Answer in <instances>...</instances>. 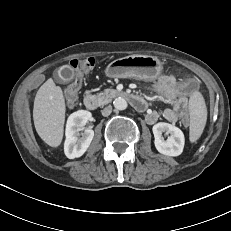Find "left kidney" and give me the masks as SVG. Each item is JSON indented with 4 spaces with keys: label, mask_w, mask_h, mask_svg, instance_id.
Segmentation results:
<instances>
[{
    "label": "left kidney",
    "mask_w": 231,
    "mask_h": 231,
    "mask_svg": "<svg viewBox=\"0 0 231 231\" xmlns=\"http://www.w3.org/2000/svg\"><path fill=\"white\" fill-rule=\"evenodd\" d=\"M153 134L155 137V147L157 151L166 156H179L183 152L185 138L183 132L176 126L160 122L153 126ZM168 134L165 140L162 133Z\"/></svg>",
    "instance_id": "5707ae66"
}]
</instances>
